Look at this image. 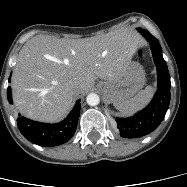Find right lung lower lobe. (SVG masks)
Returning a JSON list of instances; mask_svg holds the SVG:
<instances>
[{
    "instance_id": "98d812e1",
    "label": "right lung lower lobe",
    "mask_w": 187,
    "mask_h": 187,
    "mask_svg": "<svg viewBox=\"0 0 187 187\" xmlns=\"http://www.w3.org/2000/svg\"><path fill=\"white\" fill-rule=\"evenodd\" d=\"M7 98L12 104V93L10 87L7 89ZM79 115L80 100L76 102L67 118L60 123H40L29 120L19 114L17 125L22 135L30 142L39 146L51 147L61 145L71 139L76 131Z\"/></svg>"
}]
</instances>
